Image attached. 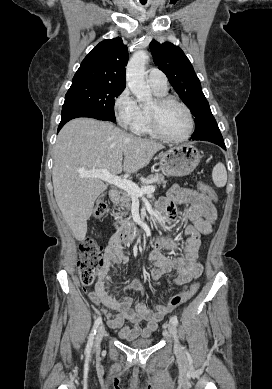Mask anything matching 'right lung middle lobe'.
<instances>
[{
  "mask_svg": "<svg viewBox=\"0 0 272 389\" xmlns=\"http://www.w3.org/2000/svg\"><path fill=\"white\" fill-rule=\"evenodd\" d=\"M124 90L117 87L98 83L72 84L65 96L62 111L81 109L96 113L109 121L115 122V98Z\"/></svg>",
  "mask_w": 272,
  "mask_h": 389,
  "instance_id": "obj_1",
  "label": "right lung middle lobe"
}]
</instances>
